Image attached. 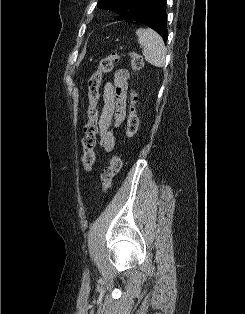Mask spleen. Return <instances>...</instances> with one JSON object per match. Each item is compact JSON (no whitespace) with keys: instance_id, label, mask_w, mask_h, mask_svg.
<instances>
[{"instance_id":"1","label":"spleen","mask_w":245,"mask_h":314,"mask_svg":"<svg viewBox=\"0 0 245 314\" xmlns=\"http://www.w3.org/2000/svg\"><path fill=\"white\" fill-rule=\"evenodd\" d=\"M138 43L143 47L145 60L155 66L164 67L166 48L161 36L152 29H138L136 31Z\"/></svg>"}]
</instances>
